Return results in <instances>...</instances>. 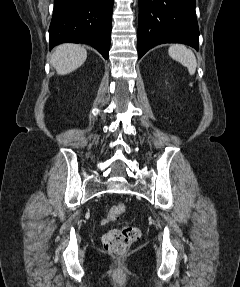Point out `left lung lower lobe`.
Listing matches in <instances>:
<instances>
[{
	"mask_svg": "<svg viewBox=\"0 0 240 287\" xmlns=\"http://www.w3.org/2000/svg\"><path fill=\"white\" fill-rule=\"evenodd\" d=\"M162 43H183L198 50L195 0H139L138 57Z\"/></svg>",
	"mask_w": 240,
	"mask_h": 287,
	"instance_id": "1",
	"label": "left lung lower lobe"
}]
</instances>
